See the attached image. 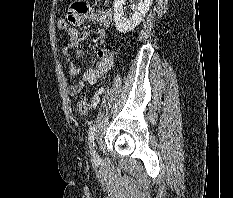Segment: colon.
<instances>
[{"label": "colon", "mask_w": 233, "mask_h": 198, "mask_svg": "<svg viewBox=\"0 0 233 198\" xmlns=\"http://www.w3.org/2000/svg\"><path fill=\"white\" fill-rule=\"evenodd\" d=\"M68 26V22L65 18H59L57 21V27L60 30H65ZM77 110L80 114H87L90 110V104L87 101L85 95H82L77 103Z\"/></svg>", "instance_id": "1"}]
</instances>
